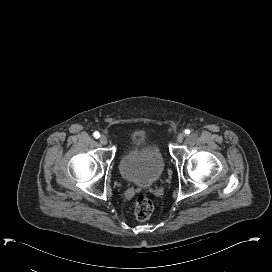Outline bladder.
I'll list each match as a JSON object with an SVG mask.
<instances>
[{
    "instance_id": "obj_1",
    "label": "bladder",
    "mask_w": 272,
    "mask_h": 272,
    "mask_svg": "<svg viewBox=\"0 0 272 272\" xmlns=\"http://www.w3.org/2000/svg\"><path fill=\"white\" fill-rule=\"evenodd\" d=\"M118 167L125 180L149 187L161 178L164 159L143 132H135L129 138Z\"/></svg>"
}]
</instances>
